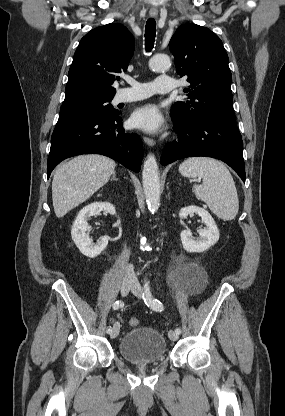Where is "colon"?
<instances>
[{
	"instance_id": "1",
	"label": "colon",
	"mask_w": 285,
	"mask_h": 416,
	"mask_svg": "<svg viewBox=\"0 0 285 416\" xmlns=\"http://www.w3.org/2000/svg\"><path fill=\"white\" fill-rule=\"evenodd\" d=\"M138 324H139V320H138L137 318H131V319L129 320V325H130L131 327L138 326Z\"/></svg>"
}]
</instances>
